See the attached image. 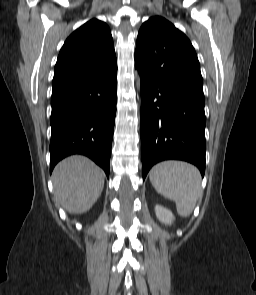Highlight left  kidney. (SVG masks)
I'll return each mask as SVG.
<instances>
[{
	"label": "left kidney",
	"mask_w": 256,
	"mask_h": 295,
	"mask_svg": "<svg viewBox=\"0 0 256 295\" xmlns=\"http://www.w3.org/2000/svg\"><path fill=\"white\" fill-rule=\"evenodd\" d=\"M155 213L159 221L164 224H171L174 220V215L172 212L160 205L155 206Z\"/></svg>",
	"instance_id": "obj_1"
}]
</instances>
